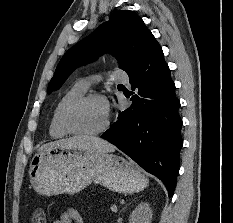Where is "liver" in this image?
Here are the masks:
<instances>
[{
  "label": "liver",
  "mask_w": 233,
  "mask_h": 223,
  "mask_svg": "<svg viewBox=\"0 0 233 223\" xmlns=\"http://www.w3.org/2000/svg\"><path fill=\"white\" fill-rule=\"evenodd\" d=\"M46 145V143H45ZM49 145H60V147H69V149H80V151H93V153H110L115 151V145L96 137V135H73L67 139H58V141H51Z\"/></svg>",
  "instance_id": "6515ba94"
}]
</instances>
